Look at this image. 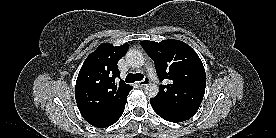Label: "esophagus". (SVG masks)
<instances>
[{
    "mask_svg": "<svg viewBox=\"0 0 276 138\" xmlns=\"http://www.w3.org/2000/svg\"><path fill=\"white\" fill-rule=\"evenodd\" d=\"M149 82H150L149 79L146 77L142 81L138 82V85L140 87H145V86H147L149 84Z\"/></svg>",
    "mask_w": 276,
    "mask_h": 138,
    "instance_id": "34e87169",
    "label": "esophagus"
}]
</instances>
